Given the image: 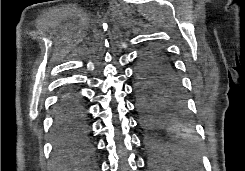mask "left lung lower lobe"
Here are the masks:
<instances>
[{"mask_svg": "<svg viewBox=\"0 0 245 171\" xmlns=\"http://www.w3.org/2000/svg\"><path fill=\"white\" fill-rule=\"evenodd\" d=\"M152 61H136L139 107L147 129L144 139L152 167H183L188 155L169 141L155 134V128H167L173 133L185 130L187 105L182 81L170 56L154 46ZM168 156V157H162Z\"/></svg>", "mask_w": 245, "mask_h": 171, "instance_id": "left-lung-lower-lobe-1", "label": "left lung lower lobe"}]
</instances>
